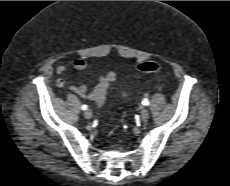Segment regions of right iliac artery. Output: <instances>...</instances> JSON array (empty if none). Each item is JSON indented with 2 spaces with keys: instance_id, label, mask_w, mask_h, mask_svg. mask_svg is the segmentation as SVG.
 <instances>
[{
  "instance_id": "obj_1",
  "label": "right iliac artery",
  "mask_w": 230,
  "mask_h": 186,
  "mask_svg": "<svg viewBox=\"0 0 230 186\" xmlns=\"http://www.w3.org/2000/svg\"><path fill=\"white\" fill-rule=\"evenodd\" d=\"M88 106L87 105H82L81 109L82 110H87Z\"/></svg>"
}]
</instances>
